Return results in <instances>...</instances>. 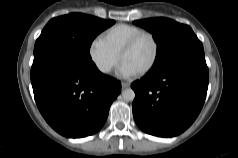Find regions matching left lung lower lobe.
I'll return each mask as SVG.
<instances>
[{
	"label": "left lung lower lobe",
	"mask_w": 238,
	"mask_h": 158,
	"mask_svg": "<svg viewBox=\"0 0 238 158\" xmlns=\"http://www.w3.org/2000/svg\"><path fill=\"white\" fill-rule=\"evenodd\" d=\"M209 72L203 47L186 50L131 84L132 109L141 130L159 137L185 131L204 104Z\"/></svg>",
	"instance_id": "left-lung-lower-lobe-1"
}]
</instances>
